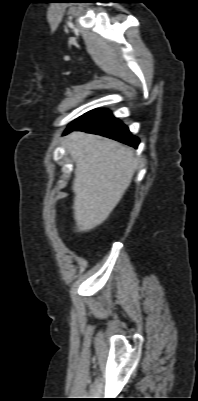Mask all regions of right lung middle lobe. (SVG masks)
Segmentation results:
<instances>
[{
  "label": "right lung middle lobe",
  "mask_w": 198,
  "mask_h": 401,
  "mask_svg": "<svg viewBox=\"0 0 198 401\" xmlns=\"http://www.w3.org/2000/svg\"><path fill=\"white\" fill-rule=\"evenodd\" d=\"M96 111H97V110H92V111H90V112L84 114L83 116L77 118L76 120H74V121L68 126L67 129L72 128V127H74V126H76V125H78V124L84 122L87 118H89L91 115H93Z\"/></svg>",
  "instance_id": "right-lung-middle-lobe-1"
}]
</instances>
